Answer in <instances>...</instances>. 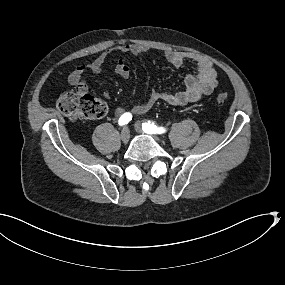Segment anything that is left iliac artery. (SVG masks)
Instances as JSON below:
<instances>
[{
	"label": "left iliac artery",
	"instance_id": "1",
	"mask_svg": "<svg viewBox=\"0 0 285 285\" xmlns=\"http://www.w3.org/2000/svg\"><path fill=\"white\" fill-rule=\"evenodd\" d=\"M142 129L148 134H162L166 132V129L163 127H157L153 122L150 121L142 124Z\"/></svg>",
	"mask_w": 285,
	"mask_h": 285
}]
</instances>
